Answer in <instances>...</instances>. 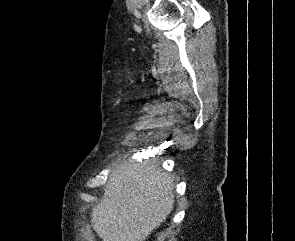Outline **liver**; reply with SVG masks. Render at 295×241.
<instances>
[{
  "instance_id": "1",
  "label": "liver",
  "mask_w": 295,
  "mask_h": 241,
  "mask_svg": "<svg viewBox=\"0 0 295 241\" xmlns=\"http://www.w3.org/2000/svg\"><path fill=\"white\" fill-rule=\"evenodd\" d=\"M171 176L155 161L118 164L91 222L102 241H145L174 207Z\"/></svg>"
}]
</instances>
